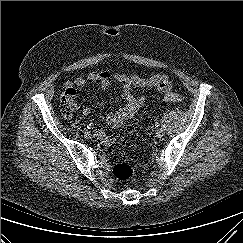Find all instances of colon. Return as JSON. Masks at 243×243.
Returning a JSON list of instances; mask_svg holds the SVG:
<instances>
[{"mask_svg":"<svg viewBox=\"0 0 243 243\" xmlns=\"http://www.w3.org/2000/svg\"><path fill=\"white\" fill-rule=\"evenodd\" d=\"M162 98L165 102L173 103V104H181L184 101L183 95L172 91L165 92ZM61 107H62V114L65 117L71 116L75 109L74 99L66 91L61 98ZM142 167L147 168L148 167L147 162H143ZM112 174L114 178L120 182L131 181L135 178L136 175L134 168L131 165L126 163L116 164L112 169Z\"/></svg>","mask_w":243,"mask_h":243,"instance_id":"obj_1","label":"colon"}]
</instances>
